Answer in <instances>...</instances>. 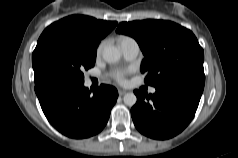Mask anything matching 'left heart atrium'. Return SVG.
Wrapping results in <instances>:
<instances>
[{
    "label": "left heart atrium",
    "instance_id": "1",
    "mask_svg": "<svg viewBox=\"0 0 238 158\" xmlns=\"http://www.w3.org/2000/svg\"><path fill=\"white\" fill-rule=\"evenodd\" d=\"M125 75H126V71H122V70L116 71L115 72V79L119 82H124Z\"/></svg>",
    "mask_w": 238,
    "mask_h": 158
}]
</instances>
